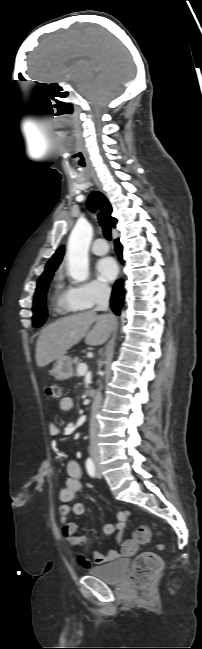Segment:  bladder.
I'll return each mask as SVG.
<instances>
[{"label": "bladder", "mask_w": 202, "mask_h": 649, "mask_svg": "<svg viewBox=\"0 0 202 649\" xmlns=\"http://www.w3.org/2000/svg\"><path fill=\"white\" fill-rule=\"evenodd\" d=\"M128 566V559H118L112 563L91 568L89 575L105 583L116 584L122 580Z\"/></svg>", "instance_id": "obj_1"}]
</instances>
